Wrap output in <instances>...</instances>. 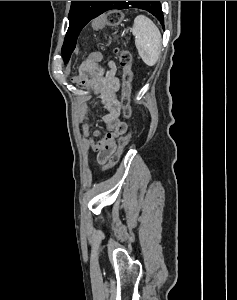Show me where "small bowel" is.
I'll return each instance as SVG.
<instances>
[{
  "instance_id": "c3829d8e",
  "label": "small bowel",
  "mask_w": 237,
  "mask_h": 300,
  "mask_svg": "<svg viewBox=\"0 0 237 300\" xmlns=\"http://www.w3.org/2000/svg\"><path fill=\"white\" fill-rule=\"evenodd\" d=\"M75 81L99 95L100 105L105 110L102 122L107 133L104 135L91 124L89 107L81 108L79 113L86 149L96 151L98 162L103 164L115 151L117 139L127 131L126 123L119 118L121 105L117 95L120 87L117 67L114 62H109L107 67L83 62Z\"/></svg>"
}]
</instances>
